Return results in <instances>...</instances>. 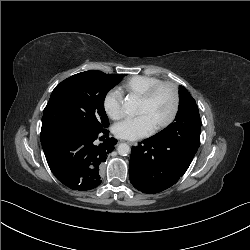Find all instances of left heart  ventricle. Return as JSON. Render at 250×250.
I'll return each instance as SVG.
<instances>
[{"instance_id":"1","label":"left heart ventricle","mask_w":250,"mask_h":250,"mask_svg":"<svg viewBox=\"0 0 250 250\" xmlns=\"http://www.w3.org/2000/svg\"><path fill=\"white\" fill-rule=\"evenodd\" d=\"M173 107V96L169 88H161L149 102H138L137 114L145 115L152 126L168 118Z\"/></svg>"}]
</instances>
